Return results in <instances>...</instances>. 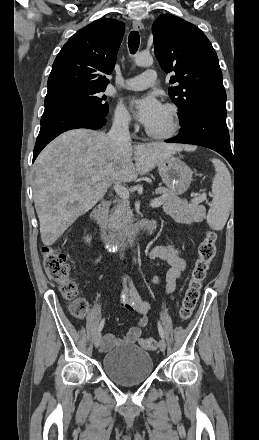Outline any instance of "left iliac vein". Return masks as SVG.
Listing matches in <instances>:
<instances>
[{
  "label": "left iliac vein",
  "mask_w": 259,
  "mask_h": 440,
  "mask_svg": "<svg viewBox=\"0 0 259 440\" xmlns=\"http://www.w3.org/2000/svg\"><path fill=\"white\" fill-rule=\"evenodd\" d=\"M159 349L162 352H165V350H166V342H165L164 338H161L159 341Z\"/></svg>",
  "instance_id": "left-iliac-vein-1"
}]
</instances>
